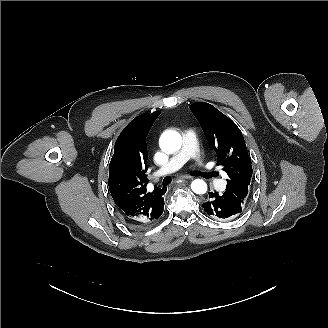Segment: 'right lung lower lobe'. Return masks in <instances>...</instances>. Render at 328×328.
Listing matches in <instances>:
<instances>
[{
	"label": "right lung lower lobe",
	"instance_id": "obj_1",
	"mask_svg": "<svg viewBox=\"0 0 328 328\" xmlns=\"http://www.w3.org/2000/svg\"><path fill=\"white\" fill-rule=\"evenodd\" d=\"M163 210H164V205H163ZM162 213H163V211H162ZM123 218H124L125 222H126L128 225L133 226L132 223H131V221H130L129 219H127V218H125V217H123Z\"/></svg>",
	"mask_w": 328,
	"mask_h": 328
}]
</instances>
